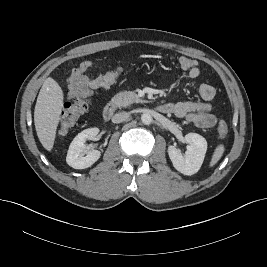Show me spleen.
<instances>
[{
	"label": "spleen",
	"mask_w": 267,
	"mask_h": 267,
	"mask_svg": "<svg viewBox=\"0 0 267 267\" xmlns=\"http://www.w3.org/2000/svg\"><path fill=\"white\" fill-rule=\"evenodd\" d=\"M224 151H225V148L223 144H220L215 148L211 161H210V167L214 166L221 159Z\"/></svg>",
	"instance_id": "3e777b00"
}]
</instances>
